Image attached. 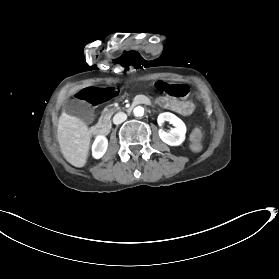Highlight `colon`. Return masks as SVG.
Wrapping results in <instances>:
<instances>
[{"label":"colon","mask_w":279,"mask_h":279,"mask_svg":"<svg viewBox=\"0 0 279 279\" xmlns=\"http://www.w3.org/2000/svg\"><path fill=\"white\" fill-rule=\"evenodd\" d=\"M192 137L195 141L200 140L201 138V132L199 130H195L192 134Z\"/></svg>","instance_id":"1"}]
</instances>
